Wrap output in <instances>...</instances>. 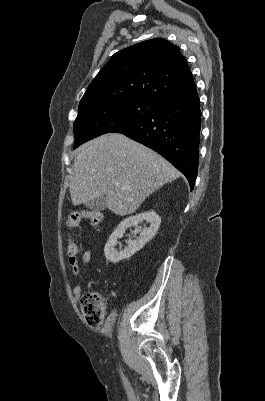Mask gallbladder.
I'll list each match as a JSON object with an SVG mask.
<instances>
[{
    "label": "gallbladder",
    "instance_id": "gallbladder-1",
    "mask_svg": "<svg viewBox=\"0 0 265 401\" xmlns=\"http://www.w3.org/2000/svg\"><path fill=\"white\" fill-rule=\"evenodd\" d=\"M106 196H97V198H92V201H87V203H84L85 207L87 209H90L92 213H100V211H104L106 209V201H105Z\"/></svg>",
    "mask_w": 265,
    "mask_h": 401
}]
</instances>
